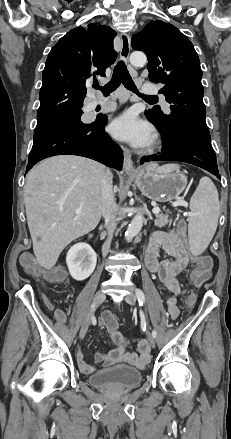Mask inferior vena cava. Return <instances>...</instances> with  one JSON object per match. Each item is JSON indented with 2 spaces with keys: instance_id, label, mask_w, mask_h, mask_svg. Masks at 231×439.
<instances>
[{
  "instance_id": "1",
  "label": "inferior vena cava",
  "mask_w": 231,
  "mask_h": 439,
  "mask_svg": "<svg viewBox=\"0 0 231 439\" xmlns=\"http://www.w3.org/2000/svg\"><path fill=\"white\" fill-rule=\"evenodd\" d=\"M101 212L105 219L108 238L102 246V255L106 257L109 252L111 239L117 226L116 203L112 190V178L110 172L101 179Z\"/></svg>"
}]
</instances>
